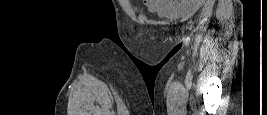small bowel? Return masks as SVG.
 <instances>
[{"instance_id": "1", "label": "small bowel", "mask_w": 267, "mask_h": 115, "mask_svg": "<svg viewBox=\"0 0 267 115\" xmlns=\"http://www.w3.org/2000/svg\"><path fill=\"white\" fill-rule=\"evenodd\" d=\"M145 4L151 12L161 16H185L198 6L194 0H146Z\"/></svg>"}]
</instances>
